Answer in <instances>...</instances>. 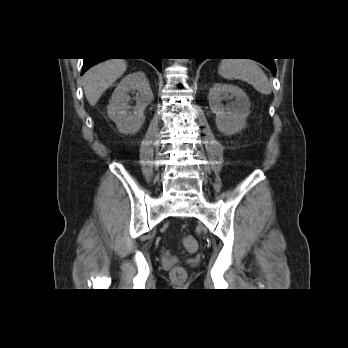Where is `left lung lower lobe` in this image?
Returning <instances> with one entry per match:
<instances>
[{"instance_id": "obj_1", "label": "left lung lower lobe", "mask_w": 348, "mask_h": 348, "mask_svg": "<svg viewBox=\"0 0 348 348\" xmlns=\"http://www.w3.org/2000/svg\"><path fill=\"white\" fill-rule=\"evenodd\" d=\"M202 60L203 59H196V62L199 63ZM255 60L267 66L272 71L273 75L276 74V67H275L273 59H262V60L255 59Z\"/></svg>"}]
</instances>
